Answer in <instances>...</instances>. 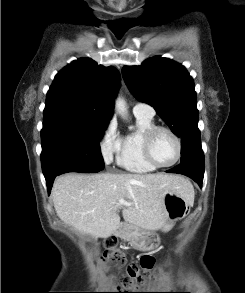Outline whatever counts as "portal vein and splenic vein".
Wrapping results in <instances>:
<instances>
[{
    "instance_id": "portal-vein-and-splenic-vein-1",
    "label": "portal vein and splenic vein",
    "mask_w": 245,
    "mask_h": 293,
    "mask_svg": "<svg viewBox=\"0 0 245 293\" xmlns=\"http://www.w3.org/2000/svg\"><path fill=\"white\" fill-rule=\"evenodd\" d=\"M119 204H121V205H127V206L131 205V203H128V202H126L123 199H119Z\"/></svg>"
}]
</instances>
